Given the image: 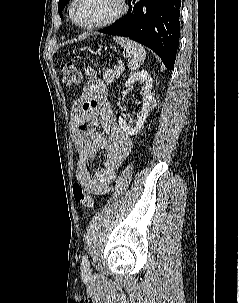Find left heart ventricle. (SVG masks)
<instances>
[{"instance_id":"left-heart-ventricle-1","label":"left heart ventricle","mask_w":239,"mask_h":303,"mask_svg":"<svg viewBox=\"0 0 239 303\" xmlns=\"http://www.w3.org/2000/svg\"><path fill=\"white\" fill-rule=\"evenodd\" d=\"M118 9V0H79L75 14L79 23L92 24L111 17Z\"/></svg>"}]
</instances>
